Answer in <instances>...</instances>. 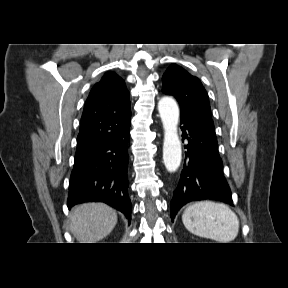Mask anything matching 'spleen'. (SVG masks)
<instances>
[{
  "label": "spleen",
  "mask_w": 288,
  "mask_h": 288,
  "mask_svg": "<svg viewBox=\"0 0 288 288\" xmlns=\"http://www.w3.org/2000/svg\"><path fill=\"white\" fill-rule=\"evenodd\" d=\"M182 221L192 234L221 243L234 240L239 231L237 215L223 203H194L185 209Z\"/></svg>",
  "instance_id": "1"
}]
</instances>
